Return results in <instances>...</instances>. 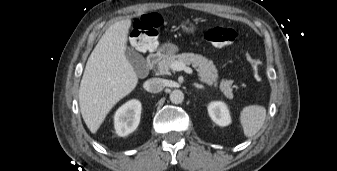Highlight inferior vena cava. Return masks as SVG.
Returning a JSON list of instances; mask_svg holds the SVG:
<instances>
[{"instance_id":"1","label":"inferior vena cava","mask_w":337,"mask_h":171,"mask_svg":"<svg viewBox=\"0 0 337 171\" xmlns=\"http://www.w3.org/2000/svg\"><path fill=\"white\" fill-rule=\"evenodd\" d=\"M164 88V81L161 78H151L146 82V89L151 93L161 92Z\"/></svg>"}]
</instances>
